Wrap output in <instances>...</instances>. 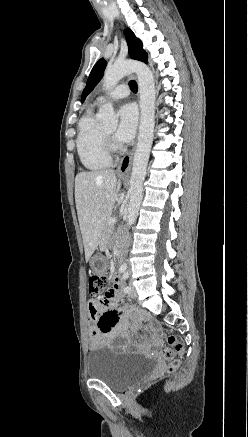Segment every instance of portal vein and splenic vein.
<instances>
[{
	"label": "portal vein and splenic vein",
	"mask_w": 248,
	"mask_h": 437,
	"mask_svg": "<svg viewBox=\"0 0 248 437\" xmlns=\"http://www.w3.org/2000/svg\"><path fill=\"white\" fill-rule=\"evenodd\" d=\"M116 223V218H110L109 220H108V224L109 225H114Z\"/></svg>",
	"instance_id": "1"
}]
</instances>
